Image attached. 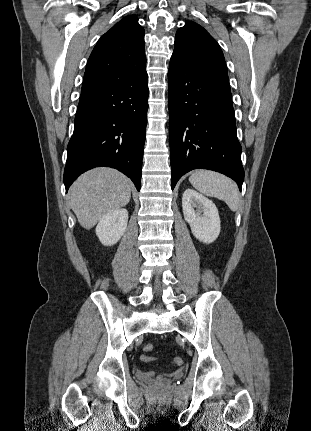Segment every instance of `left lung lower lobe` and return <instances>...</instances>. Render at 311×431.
I'll return each mask as SVG.
<instances>
[{"label":"left lung lower lobe","mask_w":311,"mask_h":431,"mask_svg":"<svg viewBox=\"0 0 311 431\" xmlns=\"http://www.w3.org/2000/svg\"><path fill=\"white\" fill-rule=\"evenodd\" d=\"M171 186L193 169L232 178L241 191L244 169L227 73L172 54L169 71Z\"/></svg>","instance_id":"0a47b994"}]
</instances>
